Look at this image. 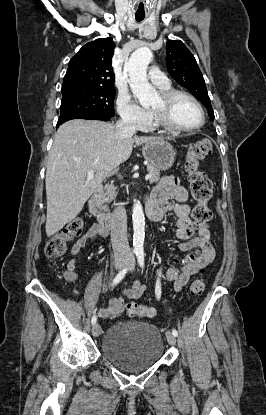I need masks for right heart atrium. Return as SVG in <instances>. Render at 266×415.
Returning <instances> with one entry per match:
<instances>
[{"mask_svg":"<svg viewBox=\"0 0 266 415\" xmlns=\"http://www.w3.org/2000/svg\"><path fill=\"white\" fill-rule=\"evenodd\" d=\"M117 111L120 117L138 128H146L152 121L150 110L135 103L130 95L122 93L117 98Z\"/></svg>","mask_w":266,"mask_h":415,"instance_id":"1","label":"right heart atrium"}]
</instances>
